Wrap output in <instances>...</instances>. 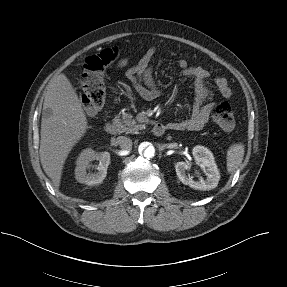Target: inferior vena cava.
Here are the masks:
<instances>
[{
    "mask_svg": "<svg viewBox=\"0 0 287 287\" xmlns=\"http://www.w3.org/2000/svg\"><path fill=\"white\" fill-rule=\"evenodd\" d=\"M117 144L121 149L130 150L132 148V140L125 136L117 137Z\"/></svg>",
    "mask_w": 287,
    "mask_h": 287,
    "instance_id": "inferior-vena-cava-1",
    "label": "inferior vena cava"
}]
</instances>
